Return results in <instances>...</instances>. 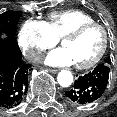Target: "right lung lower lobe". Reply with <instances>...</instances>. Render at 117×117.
Segmentation results:
<instances>
[{"mask_svg": "<svg viewBox=\"0 0 117 117\" xmlns=\"http://www.w3.org/2000/svg\"><path fill=\"white\" fill-rule=\"evenodd\" d=\"M32 70L25 64L15 39L0 38V109L17 106L28 90V75Z\"/></svg>", "mask_w": 117, "mask_h": 117, "instance_id": "98d812e1", "label": "right lung lower lobe"}]
</instances>
